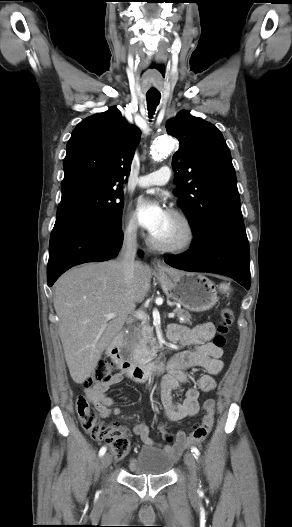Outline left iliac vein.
<instances>
[{
	"label": "left iliac vein",
	"mask_w": 292,
	"mask_h": 527,
	"mask_svg": "<svg viewBox=\"0 0 292 527\" xmlns=\"http://www.w3.org/2000/svg\"><path fill=\"white\" fill-rule=\"evenodd\" d=\"M184 461L189 471L188 488L190 491H194L197 485V472H196L195 457L192 453L187 452L184 456Z\"/></svg>",
	"instance_id": "4c4485c4"
}]
</instances>
